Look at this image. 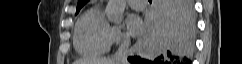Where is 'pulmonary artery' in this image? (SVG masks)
Returning <instances> with one entry per match:
<instances>
[{"label": "pulmonary artery", "instance_id": "pulmonary-artery-1", "mask_svg": "<svg viewBox=\"0 0 242 64\" xmlns=\"http://www.w3.org/2000/svg\"><path fill=\"white\" fill-rule=\"evenodd\" d=\"M128 4L136 10H142L146 7L145 0H128Z\"/></svg>", "mask_w": 242, "mask_h": 64}]
</instances>
